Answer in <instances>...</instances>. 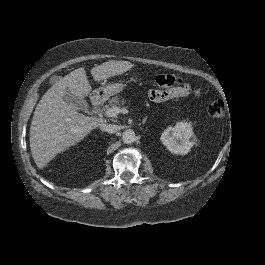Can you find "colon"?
<instances>
[{
  "mask_svg": "<svg viewBox=\"0 0 265 265\" xmlns=\"http://www.w3.org/2000/svg\"><path fill=\"white\" fill-rule=\"evenodd\" d=\"M155 81L159 87L164 89H171L184 86L181 79L170 74L158 75ZM208 113L214 118H221L226 113V106L221 100L214 101L209 105Z\"/></svg>",
  "mask_w": 265,
  "mask_h": 265,
  "instance_id": "obj_1",
  "label": "colon"
}]
</instances>
